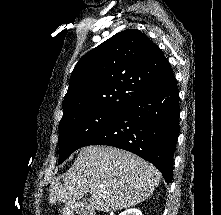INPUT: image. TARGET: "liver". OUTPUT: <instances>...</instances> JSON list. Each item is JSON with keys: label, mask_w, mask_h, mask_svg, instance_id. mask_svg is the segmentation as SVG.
<instances>
[{"label": "liver", "mask_w": 221, "mask_h": 215, "mask_svg": "<svg viewBox=\"0 0 221 215\" xmlns=\"http://www.w3.org/2000/svg\"><path fill=\"white\" fill-rule=\"evenodd\" d=\"M50 184L49 201L74 203L90 193L89 206L97 211L128 209L145 201L158 186L161 174L131 152L109 146H87L74 164Z\"/></svg>", "instance_id": "6515ba94"}]
</instances>
